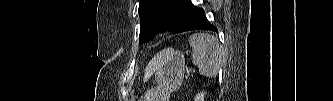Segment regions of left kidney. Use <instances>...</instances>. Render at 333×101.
Masks as SVG:
<instances>
[{
	"mask_svg": "<svg viewBox=\"0 0 333 101\" xmlns=\"http://www.w3.org/2000/svg\"><path fill=\"white\" fill-rule=\"evenodd\" d=\"M206 93L202 92L196 95L194 101H204V96Z\"/></svg>",
	"mask_w": 333,
	"mask_h": 101,
	"instance_id": "1",
	"label": "left kidney"
}]
</instances>
